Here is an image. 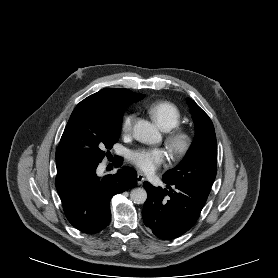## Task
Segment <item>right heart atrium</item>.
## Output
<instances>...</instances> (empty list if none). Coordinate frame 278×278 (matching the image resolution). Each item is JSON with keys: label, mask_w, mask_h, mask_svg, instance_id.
I'll return each instance as SVG.
<instances>
[{"label": "right heart atrium", "mask_w": 278, "mask_h": 278, "mask_svg": "<svg viewBox=\"0 0 278 278\" xmlns=\"http://www.w3.org/2000/svg\"><path fill=\"white\" fill-rule=\"evenodd\" d=\"M135 115L133 113H125L121 117L120 131L124 137H129L132 133Z\"/></svg>", "instance_id": "d8ad5b80"}]
</instances>
